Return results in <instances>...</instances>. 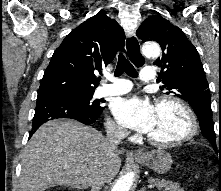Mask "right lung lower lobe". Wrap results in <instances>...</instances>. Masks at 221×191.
<instances>
[{
    "mask_svg": "<svg viewBox=\"0 0 221 191\" xmlns=\"http://www.w3.org/2000/svg\"><path fill=\"white\" fill-rule=\"evenodd\" d=\"M102 111L92 114L86 113L68 95L63 93L38 94L29 138L43 123L49 120L69 118L90 125L99 118Z\"/></svg>",
    "mask_w": 221,
    "mask_h": 191,
    "instance_id": "right-lung-lower-lobe-1",
    "label": "right lung lower lobe"
}]
</instances>
